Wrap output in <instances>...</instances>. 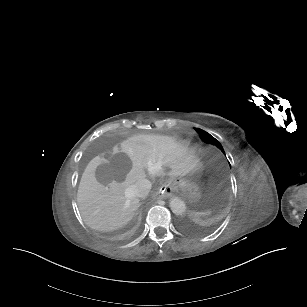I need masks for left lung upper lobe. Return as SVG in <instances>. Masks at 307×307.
<instances>
[{
    "label": "left lung upper lobe",
    "instance_id": "1",
    "mask_svg": "<svg viewBox=\"0 0 307 307\" xmlns=\"http://www.w3.org/2000/svg\"><path fill=\"white\" fill-rule=\"evenodd\" d=\"M196 131L199 133L200 138L202 139L203 142L205 143H211L217 146L219 149L222 150V152L225 154L224 149L222 145L217 141L213 136H211L209 133L205 132L202 129L197 128Z\"/></svg>",
    "mask_w": 307,
    "mask_h": 307
}]
</instances>
